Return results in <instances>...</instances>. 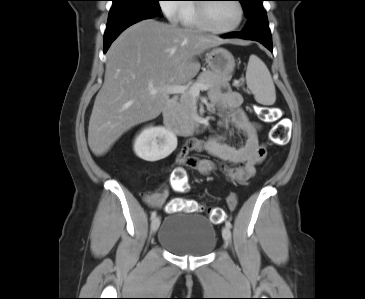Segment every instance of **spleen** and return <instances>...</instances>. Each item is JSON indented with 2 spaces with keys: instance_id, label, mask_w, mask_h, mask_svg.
I'll list each match as a JSON object with an SVG mask.
<instances>
[{
  "instance_id": "1",
  "label": "spleen",
  "mask_w": 365,
  "mask_h": 299,
  "mask_svg": "<svg viewBox=\"0 0 365 299\" xmlns=\"http://www.w3.org/2000/svg\"><path fill=\"white\" fill-rule=\"evenodd\" d=\"M246 83L258 103L263 105L275 103L276 93L271 74L265 63L256 55L249 57Z\"/></svg>"
}]
</instances>
